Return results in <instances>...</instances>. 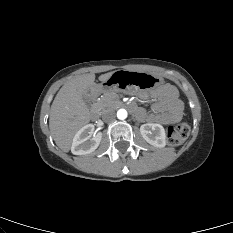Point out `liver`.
Segmentation results:
<instances>
[{
  "instance_id": "1",
  "label": "liver",
  "mask_w": 233,
  "mask_h": 233,
  "mask_svg": "<svg viewBox=\"0 0 233 233\" xmlns=\"http://www.w3.org/2000/svg\"><path fill=\"white\" fill-rule=\"evenodd\" d=\"M114 72L99 76L101 82L110 79ZM95 74H83L68 80L58 91L50 109L49 128L56 145L68 152L74 135L90 121V111L83 96L95 86Z\"/></svg>"
}]
</instances>
